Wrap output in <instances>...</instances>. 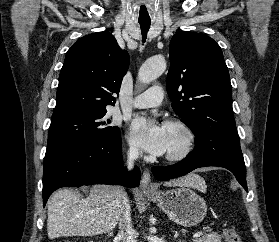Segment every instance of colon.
<instances>
[{
	"label": "colon",
	"instance_id": "5ec220e1",
	"mask_svg": "<svg viewBox=\"0 0 279 242\" xmlns=\"http://www.w3.org/2000/svg\"><path fill=\"white\" fill-rule=\"evenodd\" d=\"M224 238L226 242H243L240 235L232 227H228L224 230ZM66 242V241H63Z\"/></svg>",
	"mask_w": 279,
	"mask_h": 242
}]
</instances>
